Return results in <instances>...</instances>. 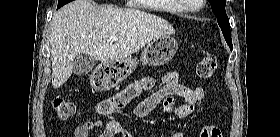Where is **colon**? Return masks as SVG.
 <instances>
[{
    "label": "colon",
    "instance_id": "obj_1",
    "mask_svg": "<svg viewBox=\"0 0 280 137\" xmlns=\"http://www.w3.org/2000/svg\"><path fill=\"white\" fill-rule=\"evenodd\" d=\"M218 68V61L214 55H207L201 59L196 66V73L202 79H208L212 77ZM120 98L123 101L130 102L134 96L124 91L120 94ZM55 114L59 119L65 120L73 116L75 112V105L64 97H56L52 102ZM200 137H222V133L219 128L213 127L204 130Z\"/></svg>",
    "mask_w": 280,
    "mask_h": 137
}]
</instances>
